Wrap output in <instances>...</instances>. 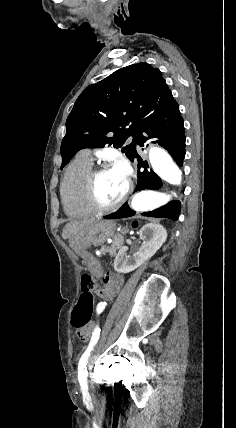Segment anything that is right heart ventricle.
Here are the masks:
<instances>
[{
    "label": "right heart ventricle",
    "mask_w": 236,
    "mask_h": 428,
    "mask_svg": "<svg viewBox=\"0 0 236 428\" xmlns=\"http://www.w3.org/2000/svg\"><path fill=\"white\" fill-rule=\"evenodd\" d=\"M125 165L127 163L121 160ZM93 170V159L88 152L78 154L68 167L61 182V197L65 211L72 217L87 218L97 211L93 210L85 197V182Z\"/></svg>",
    "instance_id": "1"
}]
</instances>
